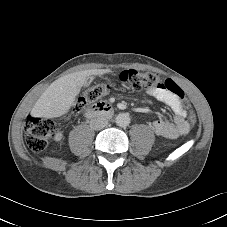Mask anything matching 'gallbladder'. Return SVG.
<instances>
[{
  "mask_svg": "<svg viewBox=\"0 0 227 227\" xmlns=\"http://www.w3.org/2000/svg\"><path fill=\"white\" fill-rule=\"evenodd\" d=\"M92 80H93L92 77L87 78L84 86H89L91 84Z\"/></svg>",
  "mask_w": 227,
  "mask_h": 227,
  "instance_id": "gallbladder-1",
  "label": "gallbladder"
}]
</instances>
